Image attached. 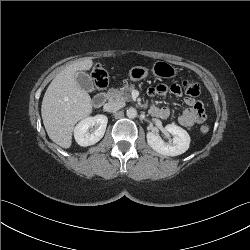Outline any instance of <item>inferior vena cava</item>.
<instances>
[{"mask_svg":"<svg viewBox=\"0 0 250 250\" xmlns=\"http://www.w3.org/2000/svg\"><path fill=\"white\" fill-rule=\"evenodd\" d=\"M124 107V103L122 102H110L105 104L104 110L107 112H115Z\"/></svg>","mask_w":250,"mask_h":250,"instance_id":"602c4592","label":"inferior vena cava"}]
</instances>
